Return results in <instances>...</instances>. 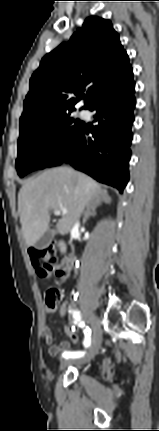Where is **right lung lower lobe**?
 I'll return each mask as SVG.
<instances>
[{"mask_svg":"<svg viewBox=\"0 0 159 431\" xmlns=\"http://www.w3.org/2000/svg\"><path fill=\"white\" fill-rule=\"evenodd\" d=\"M134 91L132 76L99 97L89 107L90 111L96 112L94 121L98 125L91 128L82 122L47 167L69 163L122 192L129 180L131 127L136 104ZM89 133L92 137H88Z\"/></svg>","mask_w":159,"mask_h":431,"instance_id":"right-lung-lower-lobe-1","label":"right lung lower lobe"}]
</instances>
